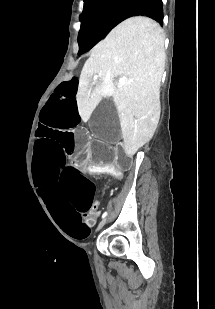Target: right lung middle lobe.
Listing matches in <instances>:
<instances>
[{"label":"right lung middle lobe","mask_w":215,"mask_h":309,"mask_svg":"<svg viewBox=\"0 0 215 309\" xmlns=\"http://www.w3.org/2000/svg\"><path fill=\"white\" fill-rule=\"evenodd\" d=\"M129 2L130 0H84L78 54L91 49L115 27V22Z\"/></svg>","instance_id":"obj_1"}]
</instances>
